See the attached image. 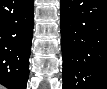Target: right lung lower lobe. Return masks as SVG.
<instances>
[{
	"instance_id": "1",
	"label": "right lung lower lobe",
	"mask_w": 107,
	"mask_h": 89,
	"mask_svg": "<svg viewBox=\"0 0 107 89\" xmlns=\"http://www.w3.org/2000/svg\"><path fill=\"white\" fill-rule=\"evenodd\" d=\"M33 0H0V84L26 89L33 35Z\"/></svg>"
}]
</instances>
